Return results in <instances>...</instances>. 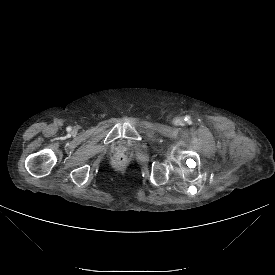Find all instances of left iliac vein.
I'll return each instance as SVG.
<instances>
[{"instance_id":"left-iliac-vein-1","label":"left iliac vein","mask_w":275,"mask_h":275,"mask_svg":"<svg viewBox=\"0 0 275 275\" xmlns=\"http://www.w3.org/2000/svg\"><path fill=\"white\" fill-rule=\"evenodd\" d=\"M182 122H183V120H182L181 118L176 119V123H177V124H180V123H182Z\"/></svg>"}]
</instances>
